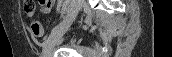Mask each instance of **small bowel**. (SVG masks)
Masks as SVG:
<instances>
[{
    "mask_svg": "<svg viewBox=\"0 0 172 57\" xmlns=\"http://www.w3.org/2000/svg\"><path fill=\"white\" fill-rule=\"evenodd\" d=\"M38 2L41 5V10H42L43 13H49L51 11L54 3H55L54 0H40ZM27 5H28V1H26L25 5H24V9H26ZM26 13L28 15H32L33 14V12H27V11H26Z\"/></svg>",
    "mask_w": 172,
    "mask_h": 57,
    "instance_id": "c3829d8e",
    "label": "small bowel"
}]
</instances>
